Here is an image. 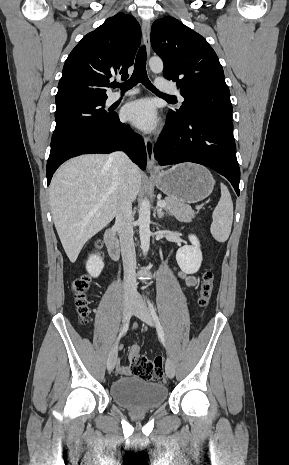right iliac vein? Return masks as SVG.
I'll list each match as a JSON object with an SVG mask.
<instances>
[{
    "label": "right iliac vein",
    "mask_w": 289,
    "mask_h": 465,
    "mask_svg": "<svg viewBox=\"0 0 289 465\" xmlns=\"http://www.w3.org/2000/svg\"><path fill=\"white\" fill-rule=\"evenodd\" d=\"M134 310V300L132 299H126L123 303V322L128 321L130 316L132 315ZM117 354H118V346L115 344L107 359V369L108 371H112L115 367L116 360H117Z\"/></svg>",
    "instance_id": "63e3f726"
}]
</instances>
